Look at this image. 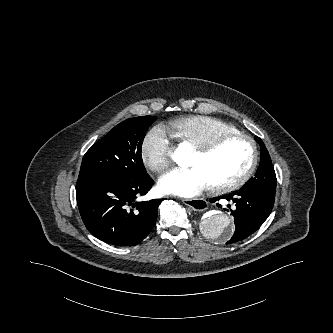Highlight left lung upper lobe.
<instances>
[{
  "instance_id": "left-lung-upper-lobe-1",
  "label": "left lung upper lobe",
  "mask_w": 333,
  "mask_h": 333,
  "mask_svg": "<svg viewBox=\"0 0 333 333\" xmlns=\"http://www.w3.org/2000/svg\"><path fill=\"white\" fill-rule=\"evenodd\" d=\"M255 140L261 146L260 164L255 176L250 178L241 189L262 190L275 194L277 180L269 153L259 137L256 136Z\"/></svg>"
}]
</instances>
